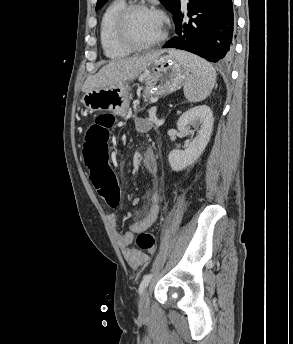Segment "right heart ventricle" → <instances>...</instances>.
I'll use <instances>...</instances> for the list:
<instances>
[{"label":"right heart ventricle","mask_w":293,"mask_h":344,"mask_svg":"<svg viewBox=\"0 0 293 344\" xmlns=\"http://www.w3.org/2000/svg\"><path fill=\"white\" fill-rule=\"evenodd\" d=\"M126 6V0H112L102 13L99 27L101 47L105 56L112 60L128 57L132 51L122 46L115 37L114 23L120 10Z\"/></svg>","instance_id":"e07e8e85"}]
</instances>
